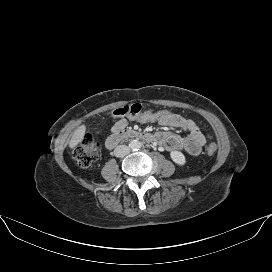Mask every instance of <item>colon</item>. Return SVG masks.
<instances>
[{"mask_svg":"<svg viewBox=\"0 0 272 272\" xmlns=\"http://www.w3.org/2000/svg\"><path fill=\"white\" fill-rule=\"evenodd\" d=\"M113 117L128 118L141 122L157 121L162 115L170 114L169 111L148 109L144 110L140 104H130L120 106L110 113ZM101 147L100 144L90 135H85L74 150V159L76 163L82 167H89L98 157ZM217 150V146L213 143L209 144L206 151L209 155H213Z\"/></svg>","mask_w":272,"mask_h":272,"instance_id":"5ec220e1","label":"colon"}]
</instances>
